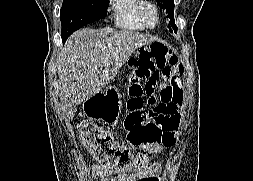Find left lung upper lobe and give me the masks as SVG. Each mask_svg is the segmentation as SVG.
Listing matches in <instances>:
<instances>
[{
	"instance_id": "left-lung-upper-lobe-1",
	"label": "left lung upper lobe",
	"mask_w": 253,
	"mask_h": 181,
	"mask_svg": "<svg viewBox=\"0 0 253 181\" xmlns=\"http://www.w3.org/2000/svg\"><path fill=\"white\" fill-rule=\"evenodd\" d=\"M158 5L165 10L167 17L169 18L170 32L177 33V26L174 20V0H156ZM172 28V29H171Z\"/></svg>"
}]
</instances>
